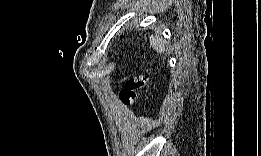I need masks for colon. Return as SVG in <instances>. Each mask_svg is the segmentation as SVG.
<instances>
[{
	"label": "colon",
	"instance_id": "obj_1",
	"mask_svg": "<svg viewBox=\"0 0 261 156\" xmlns=\"http://www.w3.org/2000/svg\"><path fill=\"white\" fill-rule=\"evenodd\" d=\"M151 75H138L127 79L120 91L119 98L124 105H133L137 102L139 94L145 91L152 83Z\"/></svg>",
	"mask_w": 261,
	"mask_h": 156
}]
</instances>
